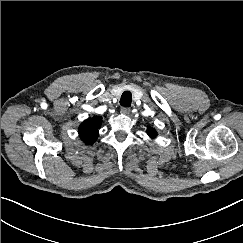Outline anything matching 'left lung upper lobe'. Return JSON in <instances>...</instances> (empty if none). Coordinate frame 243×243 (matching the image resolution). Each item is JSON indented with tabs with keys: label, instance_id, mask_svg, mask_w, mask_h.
<instances>
[{
	"label": "left lung upper lobe",
	"instance_id": "left-lung-upper-lobe-1",
	"mask_svg": "<svg viewBox=\"0 0 243 243\" xmlns=\"http://www.w3.org/2000/svg\"><path fill=\"white\" fill-rule=\"evenodd\" d=\"M148 135L151 137V138H155L156 137V135H157V132L154 130V129H152V128H148Z\"/></svg>",
	"mask_w": 243,
	"mask_h": 243
}]
</instances>
